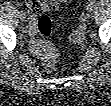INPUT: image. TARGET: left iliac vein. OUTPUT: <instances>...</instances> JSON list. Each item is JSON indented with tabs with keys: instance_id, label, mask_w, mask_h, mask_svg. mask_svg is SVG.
I'll return each mask as SVG.
<instances>
[{
	"instance_id": "obj_1",
	"label": "left iliac vein",
	"mask_w": 111,
	"mask_h": 106,
	"mask_svg": "<svg viewBox=\"0 0 111 106\" xmlns=\"http://www.w3.org/2000/svg\"><path fill=\"white\" fill-rule=\"evenodd\" d=\"M93 8H94L93 4L89 3L86 7V10H87V12H91V11H93Z\"/></svg>"
}]
</instances>
